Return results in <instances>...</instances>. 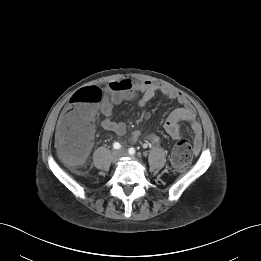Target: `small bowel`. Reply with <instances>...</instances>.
<instances>
[{
	"label": "small bowel",
	"instance_id": "1",
	"mask_svg": "<svg viewBox=\"0 0 261 261\" xmlns=\"http://www.w3.org/2000/svg\"><path fill=\"white\" fill-rule=\"evenodd\" d=\"M161 92L164 96L169 99L178 101L182 106L176 108L166 117L164 122V128L166 132L173 138H179L182 134L180 123L186 121L190 124L194 142L196 147L199 149L202 141V126L196 119L194 110L190 103L187 101L185 96L168 86L156 85L152 82L141 81L132 83L130 87H122L117 91L110 90L109 96L104 100L101 105L100 112L103 116L101 122L103 128L111 131L117 135H122L126 131V126L124 123L115 120L113 113V106L116 103H121L126 100L136 99L138 107H143L148 103L156 94V92ZM70 109V106H66L61 118ZM60 118V120H61ZM97 119L95 113L89 121V136H92L97 127ZM141 133L139 131H134L131 135L132 140L136 141L140 138ZM57 140L60 143L61 136L58 132ZM148 140L152 143H158L160 138L156 134H150ZM92 143H90V148ZM89 148V150H90ZM89 152V151H88Z\"/></svg>",
	"mask_w": 261,
	"mask_h": 261
}]
</instances>
